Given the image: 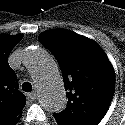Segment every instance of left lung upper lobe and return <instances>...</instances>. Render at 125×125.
Instances as JSON below:
<instances>
[{"label": "left lung upper lobe", "instance_id": "1", "mask_svg": "<svg viewBox=\"0 0 125 125\" xmlns=\"http://www.w3.org/2000/svg\"><path fill=\"white\" fill-rule=\"evenodd\" d=\"M40 42L54 54L62 71L68 103L55 114L60 125H97L115 91V73L105 52L93 40L65 29L48 30Z\"/></svg>", "mask_w": 125, "mask_h": 125}]
</instances>
